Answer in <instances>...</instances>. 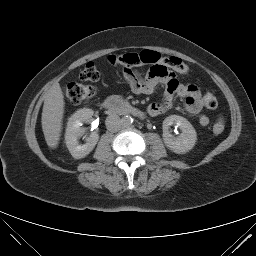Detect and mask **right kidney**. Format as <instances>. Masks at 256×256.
Segmentation results:
<instances>
[{
  "instance_id": "ca27d5eb",
  "label": "right kidney",
  "mask_w": 256,
  "mask_h": 256,
  "mask_svg": "<svg viewBox=\"0 0 256 256\" xmlns=\"http://www.w3.org/2000/svg\"><path fill=\"white\" fill-rule=\"evenodd\" d=\"M93 110L91 109H79L69 119L67 123L65 133V143L75 159L84 158L88 155L95 147L98 142L99 135L96 132H92L91 135L86 139V143L79 144L78 138L84 133L82 127L83 122L89 121L93 116Z\"/></svg>"
}]
</instances>
